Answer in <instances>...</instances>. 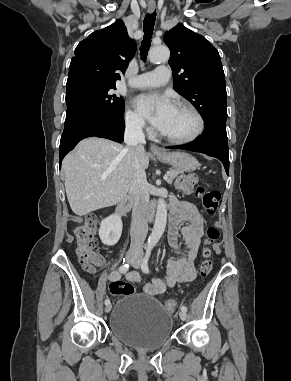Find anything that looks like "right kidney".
I'll use <instances>...</instances> for the list:
<instances>
[{
    "instance_id": "ca27d5eb",
    "label": "right kidney",
    "mask_w": 291,
    "mask_h": 381,
    "mask_svg": "<svg viewBox=\"0 0 291 381\" xmlns=\"http://www.w3.org/2000/svg\"><path fill=\"white\" fill-rule=\"evenodd\" d=\"M122 233V220L117 214L110 215L102 220L99 229V237L103 244L112 246L115 245Z\"/></svg>"
}]
</instances>
